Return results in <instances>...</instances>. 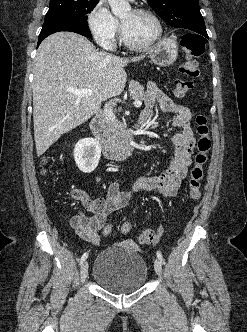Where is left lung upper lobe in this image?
Returning a JSON list of instances; mask_svg holds the SVG:
<instances>
[{
    "mask_svg": "<svg viewBox=\"0 0 247 332\" xmlns=\"http://www.w3.org/2000/svg\"><path fill=\"white\" fill-rule=\"evenodd\" d=\"M153 10L171 26L203 35L206 31L198 0H147Z\"/></svg>",
    "mask_w": 247,
    "mask_h": 332,
    "instance_id": "left-lung-upper-lobe-1",
    "label": "left lung upper lobe"
}]
</instances>
